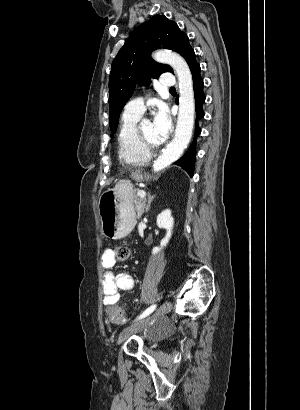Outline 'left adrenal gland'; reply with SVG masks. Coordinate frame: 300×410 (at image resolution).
<instances>
[{
	"label": "left adrenal gland",
	"mask_w": 300,
	"mask_h": 410,
	"mask_svg": "<svg viewBox=\"0 0 300 410\" xmlns=\"http://www.w3.org/2000/svg\"><path fill=\"white\" fill-rule=\"evenodd\" d=\"M154 197H155L154 195H151L150 193H148V195H147V205L145 207V212L149 211L151 203H152Z\"/></svg>",
	"instance_id": "left-adrenal-gland-1"
}]
</instances>
